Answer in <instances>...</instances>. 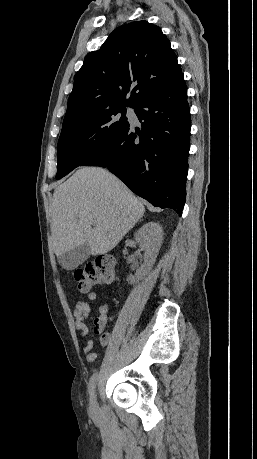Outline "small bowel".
<instances>
[{
  "label": "small bowel",
  "instance_id": "c3829d8e",
  "mask_svg": "<svg viewBox=\"0 0 257 459\" xmlns=\"http://www.w3.org/2000/svg\"><path fill=\"white\" fill-rule=\"evenodd\" d=\"M96 299V292L89 291L87 293V301H78L73 311L75 329L86 339L83 353L88 363H94L98 356L97 352L94 351V340L89 336V328L86 324V319L91 313L90 303L96 301ZM109 309L108 303H102L99 307V315L93 321V330L100 336V344L103 347L108 345L111 337L107 330L108 324L111 321V318L108 316Z\"/></svg>",
  "mask_w": 257,
  "mask_h": 459
}]
</instances>
